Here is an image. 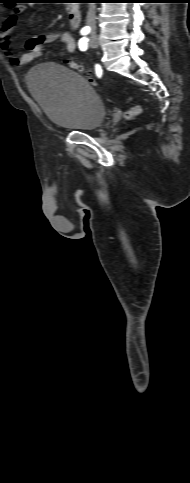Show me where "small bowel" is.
Here are the masks:
<instances>
[{
  "mask_svg": "<svg viewBox=\"0 0 190 483\" xmlns=\"http://www.w3.org/2000/svg\"><path fill=\"white\" fill-rule=\"evenodd\" d=\"M25 10V5H19L14 8L10 15L5 19L0 29V48L10 63L16 66L28 65L40 55L41 50L45 45L56 41L63 43L68 53L72 54L75 52V38L68 31H60L29 38L24 44L26 52L20 57H17L11 49L10 35L16 26L19 16Z\"/></svg>",
  "mask_w": 190,
  "mask_h": 483,
  "instance_id": "1",
  "label": "small bowel"
}]
</instances>
